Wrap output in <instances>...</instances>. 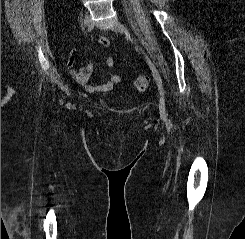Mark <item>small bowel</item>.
Segmentation results:
<instances>
[{
    "instance_id": "obj_1",
    "label": "small bowel",
    "mask_w": 245,
    "mask_h": 239,
    "mask_svg": "<svg viewBox=\"0 0 245 239\" xmlns=\"http://www.w3.org/2000/svg\"><path fill=\"white\" fill-rule=\"evenodd\" d=\"M98 42L103 46L109 45V40L105 36H101ZM77 56L78 51L73 49L68 57L69 75L72 79L82 86L89 93L106 92L114 88L115 85L121 82V75L118 73H109L106 80L101 83H92L91 76L94 70L92 64H87L83 67H77ZM105 64L107 67L112 68L115 61L112 57H107L105 59Z\"/></svg>"
}]
</instances>
